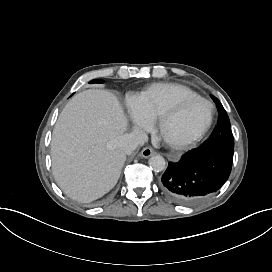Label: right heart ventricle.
Segmentation results:
<instances>
[{"instance_id": "obj_1", "label": "right heart ventricle", "mask_w": 272, "mask_h": 272, "mask_svg": "<svg viewBox=\"0 0 272 272\" xmlns=\"http://www.w3.org/2000/svg\"><path fill=\"white\" fill-rule=\"evenodd\" d=\"M194 95H197L196 92L182 85L157 84L138 98L135 111L145 118L169 115L182 98Z\"/></svg>"}]
</instances>
